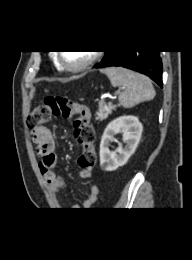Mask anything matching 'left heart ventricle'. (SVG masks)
Segmentation results:
<instances>
[{"label": "left heart ventricle", "instance_id": "obj_1", "mask_svg": "<svg viewBox=\"0 0 192 260\" xmlns=\"http://www.w3.org/2000/svg\"><path fill=\"white\" fill-rule=\"evenodd\" d=\"M64 61L69 65H79L92 55L90 51H65L62 53Z\"/></svg>", "mask_w": 192, "mask_h": 260}]
</instances>
